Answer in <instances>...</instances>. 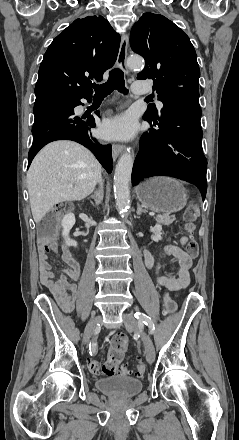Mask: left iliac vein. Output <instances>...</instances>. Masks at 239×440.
Wrapping results in <instances>:
<instances>
[{
  "label": "left iliac vein",
  "mask_w": 239,
  "mask_h": 440,
  "mask_svg": "<svg viewBox=\"0 0 239 440\" xmlns=\"http://www.w3.org/2000/svg\"><path fill=\"white\" fill-rule=\"evenodd\" d=\"M123 322L126 328L140 333L145 348L146 359L149 363H152L155 359V349L151 338L139 328L138 321L133 315L123 314Z\"/></svg>",
  "instance_id": "left-iliac-vein-1"
}]
</instances>
